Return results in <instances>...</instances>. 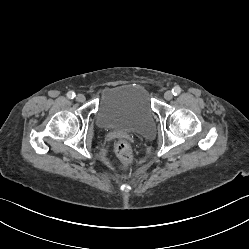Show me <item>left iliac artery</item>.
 Returning a JSON list of instances; mask_svg holds the SVG:
<instances>
[{
  "label": "left iliac artery",
  "instance_id": "44dca946",
  "mask_svg": "<svg viewBox=\"0 0 249 249\" xmlns=\"http://www.w3.org/2000/svg\"><path fill=\"white\" fill-rule=\"evenodd\" d=\"M172 93L173 95L177 96L181 93V88L179 86H175L173 89H172Z\"/></svg>",
  "mask_w": 249,
  "mask_h": 249
}]
</instances>
